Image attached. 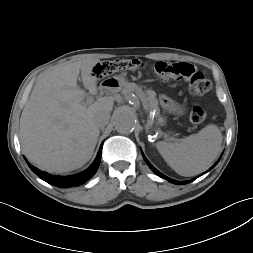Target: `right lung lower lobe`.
<instances>
[{
	"instance_id": "98d812e1",
	"label": "right lung lower lobe",
	"mask_w": 253,
	"mask_h": 253,
	"mask_svg": "<svg viewBox=\"0 0 253 253\" xmlns=\"http://www.w3.org/2000/svg\"><path fill=\"white\" fill-rule=\"evenodd\" d=\"M102 146L103 144L101 145L99 152L97 154V157L95 161L93 162V164L87 170L73 176H66V177L53 176L36 169V167L31 165L30 163H28V166L36 175H38L41 179H43L44 181H46L47 183L51 185H54L60 188H69L72 186H79L83 184L85 181H87L88 179H90L96 173L99 167V164L101 162Z\"/></svg>"
}]
</instances>
